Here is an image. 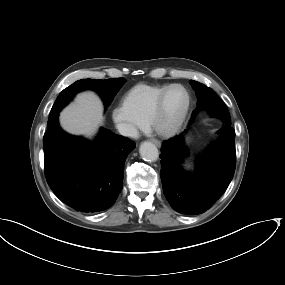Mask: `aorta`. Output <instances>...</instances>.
<instances>
[{
	"instance_id": "aorta-1",
	"label": "aorta",
	"mask_w": 285,
	"mask_h": 285,
	"mask_svg": "<svg viewBox=\"0 0 285 285\" xmlns=\"http://www.w3.org/2000/svg\"><path fill=\"white\" fill-rule=\"evenodd\" d=\"M140 156L147 162H155L159 158V151L155 144L145 141L139 148Z\"/></svg>"
}]
</instances>
